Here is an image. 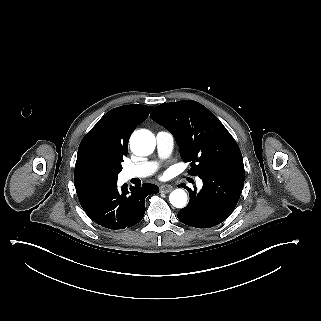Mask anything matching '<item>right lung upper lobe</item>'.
Wrapping results in <instances>:
<instances>
[{
    "mask_svg": "<svg viewBox=\"0 0 321 321\" xmlns=\"http://www.w3.org/2000/svg\"><path fill=\"white\" fill-rule=\"evenodd\" d=\"M152 107L125 105L107 112L82 139L75 164L74 185L88 181H104L95 173L87 160L92 152L111 157H123L128 152V141L136 126L149 115Z\"/></svg>",
    "mask_w": 321,
    "mask_h": 321,
    "instance_id": "obj_1",
    "label": "right lung upper lobe"
}]
</instances>
